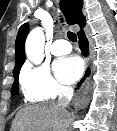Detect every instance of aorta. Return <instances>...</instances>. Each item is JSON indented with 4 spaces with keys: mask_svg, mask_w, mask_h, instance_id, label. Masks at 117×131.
Returning a JSON list of instances; mask_svg holds the SVG:
<instances>
[{
    "mask_svg": "<svg viewBox=\"0 0 117 131\" xmlns=\"http://www.w3.org/2000/svg\"><path fill=\"white\" fill-rule=\"evenodd\" d=\"M44 43L45 35L42 28L37 27L29 33L25 43V52L28 59L34 64L41 63L44 58Z\"/></svg>",
    "mask_w": 117,
    "mask_h": 131,
    "instance_id": "1",
    "label": "aorta"
}]
</instances>
